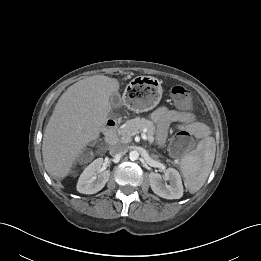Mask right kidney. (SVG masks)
<instances>
[{
  "mask_svg": "<svg viewBox=\"0 0 261 261\" xmlns=\"http://www.w3.org/2000/svg\"><path fill=\"white\" fill-rule=\"evenodd\" d=\"M109 177L110 171L106 170L103 158H97L80 175L77 191L83 194H95L105 186Z\"/></svg>",
  "mask_w": 261,
  "mask_h": 261,
  "instance_id": "right-kidney-1",
  "label": "right kidney"
}]
</instances>
